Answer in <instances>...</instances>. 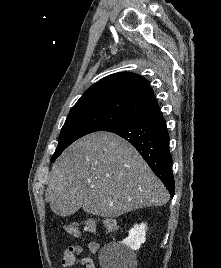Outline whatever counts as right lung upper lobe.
I'll return each instance as SVG.
<instances>
[{"instance_id": "obj_1", "label": "right lung upper lobe", "mask_w": 221, "mask_h": 268, "mask_svg": "<svg viewBox=\"0 0 221 268\" xmlns=\"http://www.w3.org/2000/svg\"><path fill=\"white\" fill-rule=\"evenodd\" d=\"M83 110H105L128 121L160 109L145 78L131 72H120L87 89L70 112Z\"/></svg>"}]
</instances>
